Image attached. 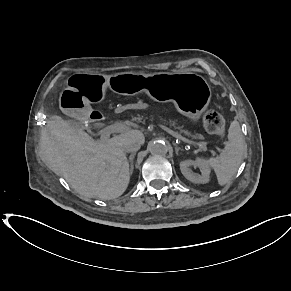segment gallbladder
Segmentation results:
<instances>
[{
	"mask_svg": "<svg viewBox=\"0 0 291 291\" xmlns=\"http://www.w3.org/2000/svg\"><path fill=\"white\" fill-rule=\"evenodd\" d=\"M69 123H70L71 125H74V126H80L79 123H76V122H73V121H70Z\"/></svg>",
	"mask_w": 291,
	"mask_h": 291,
	"instance_id": "1",
	"label": "gallbladder"
}]
</instances>
